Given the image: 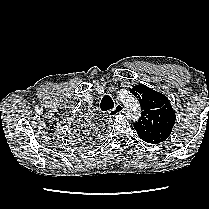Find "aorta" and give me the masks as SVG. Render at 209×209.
I'll return each instance as SVG.
<instances>
[{
  "label": "aorta",
  "mask_w": 209,
  "mask_h": 209,
  "mask_svg": "<svg viewBox=\"0 0 209 209\" xmlns=\"http://www.w3.org/2000/svg\"><path fill=\"white\" fill-rule=\"evenodd\" d=\"M120 100L123 103L128 117L138 118L140 116V105L138 101L130 94L120 96Z\"/></svg>",
  "instance_id": "obj_1"
}]
</instances>
